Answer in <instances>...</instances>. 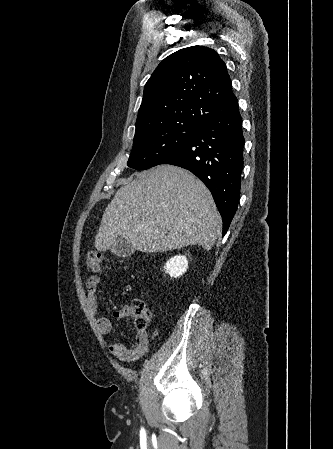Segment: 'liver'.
I'll return each instance as SVG.
<instances>
[{
  "label": "liver",
  "mask_w": 333,
  "mask_h": 449,
  "mask_svg": "<svg viewBox=\"0 0 333 449\" xmlns=\"http://www.w3.org/2000/svg\"><path fill=\"white\" fill-rule=\"evenodd\" d=\"M221 228L207 187L183 168L160 165L134 173L117 190L102 216L94 246L106 251L121 236L145 253L196 244L208 251Z\"/></svg>",
  "instance_id": "obj_1"
}]
</instances>
